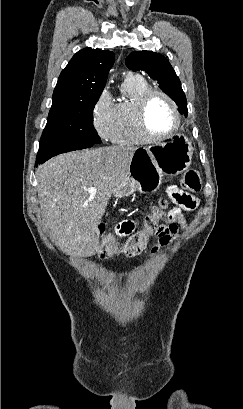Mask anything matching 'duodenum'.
Wrapping results in <instances>:
<instances>
[{"instance_id":"duodenum-1","label":"duodenum","mask_w":243,"mask_h":409,"mask_svg":"<svg viewBox=\"0 0 243 409\" xmlns=\"http://www.w3.org/2000/svg\"><path fill=\"white\" fill-rule=\"evenodd\" d=\"M130 229H131V223H129V222H123L119 226L120 232H126V231H129Z\"/></svg>"}]
</instances>
